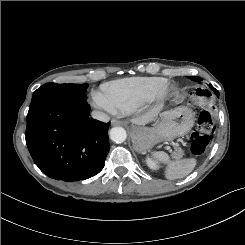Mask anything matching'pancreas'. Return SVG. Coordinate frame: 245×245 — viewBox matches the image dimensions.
<instances>
[{"mask_svg": "<svg viewBox=\"0 0 245 245\" xmlns=\"http://www.w3.org/2000/svg\"><path fill=\"white\" fill-rule=\"evenodd\" d=\"M183 155L182 149L176 150V152L173 153V157L180 158Z\"/></svg>", "mask_w": 245, "mask_h": 245, "instance_id": "obj_1", "label": "pancreas"}]
</instances>
